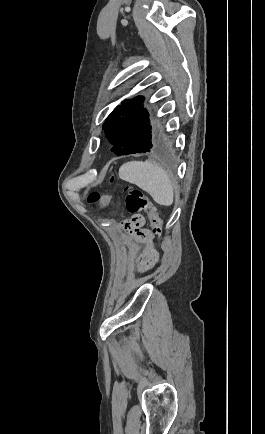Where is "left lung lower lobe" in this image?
<instances>
[{"label": "left lung lower lobe", "mask_w": 265, "mask_h": 434, "mask_svg": "<svg viewBox=\"0 0 265 434\" xmlns=\"http://www.w3.org/2000/svg\"><path fill=\"white\" fill-rule=\"evenodd\" d=\"M152 127L129 139L120 148L112 149L116 155L155 152L163 153L172 148L173 140L164 133L152 134Z\"/></svg>", "instance_id": "0a47b994"}]
</instances>
